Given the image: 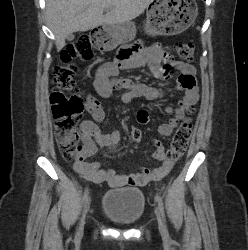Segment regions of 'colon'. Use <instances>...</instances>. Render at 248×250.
<instances>
[{"instance_id": "colon-1", "label": "colon", "mask_w": 248, "mask_h": 250, "mask_svg": "<svg viewBox=\"0 0 248 250\" xmlns=\"http://www.w3.org/2000/svg\"><path fill=\"white\" fill-rule=\"evenodd\" d=\"M175 50L181 59L193 60L194 46L192 43H178L175 45ZM128 56L129 49H126L120 53L119 60L122 61ZM93 58L94 51L91 38L88 35H82L62 51L60 62L54 73L53 83L55 88L50 95L51 111L61 155L69 162L76 161L80 153L79 133L76 125L87 105V99L73 79L76 73L73 60L89 62ZM188 113L191 115L193 109L190 108ZM192 133L193 123L191 117L188 116L175 131L171 144L165 152L170 161H176L184 154L188 148ZM131 134L133 142L140 139L138 130H133Z\"/></svg>"}]
</instances>
